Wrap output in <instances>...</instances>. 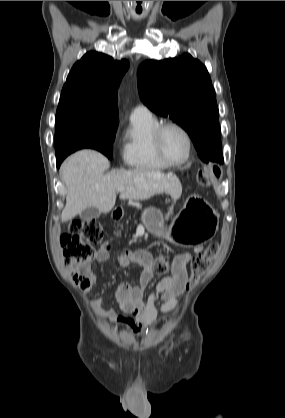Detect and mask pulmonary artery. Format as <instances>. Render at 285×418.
I'll use <instances>...</instances> for the list:
<instances>
[{
    "instance_id": "pulmonary-artery-1",
    "label": "pulmonary artery",
    "mask_w": 285,
    "mask_h": 418,
    "mask_svg": "<svg viewBox=\"0 0 285 418\" xmlns=\"http://www.w3.org/2000/svg\"><path fill=\"white\" fill-rule=\"evenodd\" d=\"M151 112L147 107H144L142 105L135 106L130 113V119L136 120V119H146L150 118Z\"/></svg>"
}]
</instances>
